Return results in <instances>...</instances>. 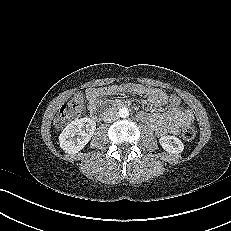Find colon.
<instances>
[{
  "mask_svg": "<svg viewBox=\"0 0 231 231\" xmlns=\"http://www.w3.org/2000/svg\"><path fill=\"white\" fill-rule=\"evenodd\" d=\"M170 105L174 107L181 106V99L177 95H170L168 97ZM85 102L82 95H75L67 104L61 107L59 113L57 114L54 125L57 129L63 128V126L74 116L81 113L84 110ZM181 135L184 140L192 141L196 137V129L187 125L182 128Z\"/></svg>",
  "mask_w": 231,
  "mask_h": 231,
  "instance_id": "5ec220e1",
  "label": "colon"
}]
</instances>
